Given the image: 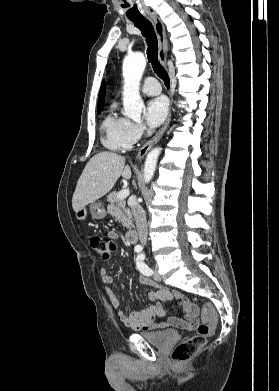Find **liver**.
Segmentation results:
<instances>
[{
    "instance_id": "6515ba94",
    "label": "liver",
    "mask_w": 279,
    "mask_h": 391,
    "mask_svg": "<svg viewBox=\"0 0 279 391\" xmlns=\"http://www.w3.org/2000/svg\"><path fill=\"white\" fill-rule=\"evenodd\" d=\"M130 166L125 158L112 152H100L86 164L72 197V207L78 211L106 195L120 176L130 179Z\"/></svg>"
}]
</instances>
